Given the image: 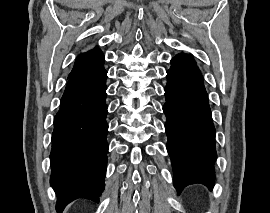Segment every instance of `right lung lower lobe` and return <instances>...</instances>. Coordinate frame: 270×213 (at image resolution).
Listing matches in <instances>:
<instances>
[{
  "label": "right lung lower lobe",
  "mask_w": 270,
  "mask_h": 213,
  "mask_svg": "<svg viewBox=\"0 0 270 213\" xmlns=\"http://www.w3.org/2000/svg\"><path fill=\"white\" fill-rule=\"evenodd\" d=\"M106 78L104 67L70 78L54 118L50 185L58 197V213L78 198L98 203L104 190Z\"/></svg>",
  "instance_id": "98d812e1"
}]
</instances>
